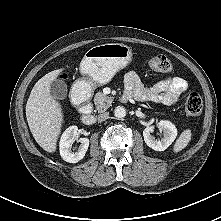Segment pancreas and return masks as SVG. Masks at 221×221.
<instances>
[{"instance_id": "pancreas-1", "label": "pancreas", "mask_w": 221, "mask_h": 221, "mask_svg": "<svg viewBox=\"0 0 221 221\" xmlns=\"http://www.w3.org/2000/svg\"><path fill=\"white\" fill-rule=\"evenodd\" d=\"M113 102V98L107 96L102 92H98L95 94L94 103L98 112H103L107 110Z\"/></svg>"}]
</instances>
